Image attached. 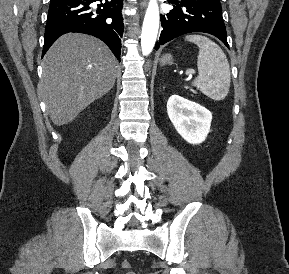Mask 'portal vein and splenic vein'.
Segmentation results:
<instances>
[{"label": "portal vein and splenic vein", "mask_w": 289, "mask_h": 274, "mask_svg": "<svg viewBox=\"0 0 289 274\" xmlns=\"http://www.w3.org/2000/svg\"><path fill=\"white\" fill-rule=\"evenodd\" d=\"M187 75H189V77H191L192 75H191V73H187Z\"/></svg>", "instance_id": "18ae733b"}]
</instances>
